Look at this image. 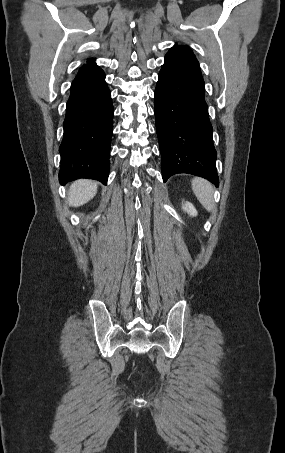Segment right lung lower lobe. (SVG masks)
Segmentation results:
<instances>
[{"mask_svg": "<svg viewBox=\"0 0 285 453\" xmlns=\"http://www.w3.org/2000/svg\"><path fill=\"white\" fill-rule=\"evenodd\" d=\"M113 105L105 73L95 62L84 65L71 84L59 148V181L79 178L107 183Z\"/></svg>", "mask_w": 285, "mask_h": 453, "instance_id": "obj_1", "label": "right lung lower lobe"}]
</instances>
